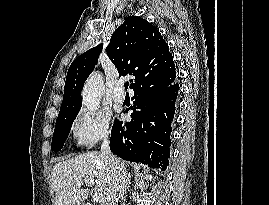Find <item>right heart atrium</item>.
<instances>
[{
    "label": "right heart atrium",
    "mask_w": 269,
    "mask_h": 205,
    "mask_svg": "<svg viewBox=\"0 0 269 205\" xmlns=\"http://www.w3.org/2000/svg\"><path fill=\"white\" fill-rule=\"evenodd\" d=\"M71 131L79 146L93 147L111 135V117L99 109H82L74 117Z\"/></svg>",
    "instance_id": "obj_1"
}]
</instances>
